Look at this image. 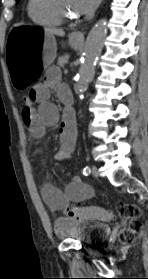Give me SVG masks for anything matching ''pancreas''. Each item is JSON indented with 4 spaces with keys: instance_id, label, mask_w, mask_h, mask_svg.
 <instances>
[{
    "instance_id": "cf45deb5",
    "label": "pancreas",
    "mask_w": 148,
    "mask_h": 279,
    "mask_svg": "<svg viewBox=\"0 0 148 279\" xmlns=\"http://www.w3.org/2000/svg\"><path fill=\"white\" fill-rule=\"evenodd\" d=\"M68 56H61L58 58V65L59 66H64V64L67 62Z\"/></svg>"
}]
</instances>
